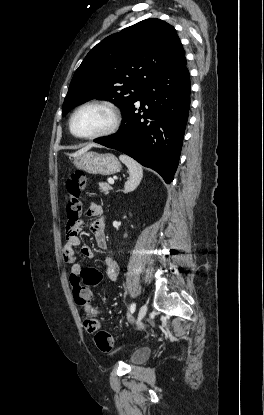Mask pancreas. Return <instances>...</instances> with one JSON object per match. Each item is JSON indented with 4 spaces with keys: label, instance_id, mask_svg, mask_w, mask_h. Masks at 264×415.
<instances>
[{
    "label": "pancreas",
    "instance_id": "cf45deb5",
    "mask_svg": "<svg viewBox=\"0 0 264 415\" xmlns=\"http://www.w3.org/2000/svg\"><path fill=\"white\" fill-rule=\"evenodd\" d=\"M100 191L104 194H108L109 190H111V187L106 182H100L99 183Z\"/></svg>",
    "mask_w": 264,
    "mask_h": 415
}]
</instances>
